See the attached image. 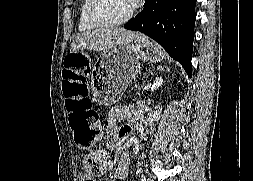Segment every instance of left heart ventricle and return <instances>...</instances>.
Masks as SVG:
<instances>
[{"instance_id":"left-heart-ventricle-1","label":"left heart ventricle","mask_w":253,"mask_h":181,"mask_svg":"<svg viewBox=\"0 0 253 181\" xmlns=\"http://www.w3.org/2000/svg\"><path fill=\"white\" fill-rule=\"evenodd\" d=\"M101 14L110 21L124 18L132 9L129 0H102Z\"/></svg>"}]
</instances>
